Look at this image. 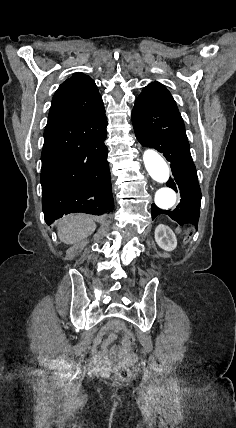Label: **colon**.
I'll return each instance as SVG.
<instances>
[{"label":"colon","instance_id":"5ec220e1","mask_svg":"<svg viewBox=\"0 0 236 428\" xmlns=\"http://www.w3.org/2000/svg\"><path fill=\"white\" fill-rule=\"evenodd\" d=\"M123 340L127 347L133 346L135 344V336L132 332H126L124 334ZM114 376L119 381H127L130 378L131 373L128 366L121 363L114 368Z\"/></svg>","mask_w":236,"mask_h":428}]
</instances>
